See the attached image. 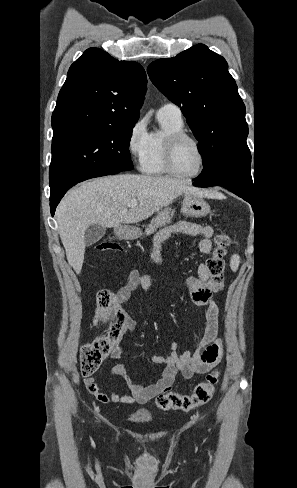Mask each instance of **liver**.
Wrapping results in <instances>:
<instances>
[{
	"mask_svg": "<svg viewBox=\"0 0 297 488\" xmlns=\"http://www.w3.org/2000/svg\"><path fill=\"white\" fill-rule=\"evenodd\" d=\"M185 193L207 192L172 177L120 174L101 177L69 190L56 209L59 235L70 266L79 274L85 254V230L94 224L118 228L152 216ZM139 204L129 207L131 200ZM128 207L130 209H128Z\"/></svg>",
	"mask_w": 297,
	"mask_h": 488,
	"instance_id": "liver-1",
	"label": "liver"
}]
</instances>
